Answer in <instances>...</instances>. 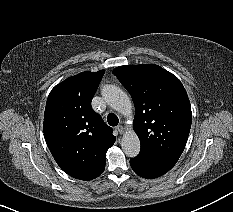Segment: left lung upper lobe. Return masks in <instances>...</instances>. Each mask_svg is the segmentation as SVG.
<instances>
[{"label":"left lung upper lobe","mask_w":233,"mask_h":212,"mask_svg":"<svg viewBox=\"0 0 233 212\" xmlns=\"http://www.w3.org/2000/svg\"><path fill=\"white\" fill-rule=\"evenodd\" d=\"M113 74L132 96L140 152L176 163L192 121L189 98L180 80L154 64L119 66Z\"/></svg>","instance_id":"1"}]
</instances>
